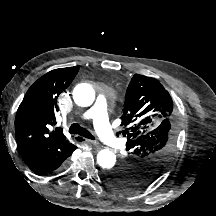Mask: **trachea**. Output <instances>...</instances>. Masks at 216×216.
Instances as JSON below:
<instances>
[{
  "mask_svg": "<svg viewBox=\"0 0 216 216\" xmlns=\"http://www.w3.org/2000/svg\"><path fill=\"white\" fill-rule=\"evenodd\" d=\"M69 133L78 134V135L83 136V137L88 138V139H95L88 130L81 127L77 123H74L70 126Z\"/></svg>",
  "mask_w": 216,
  "mask_h": 216,
  "instance_id": "3493384b",
  "label": "trachea"
}]
</instances>
